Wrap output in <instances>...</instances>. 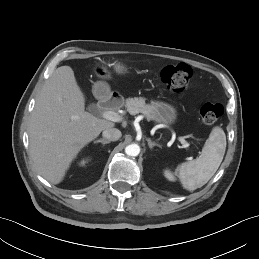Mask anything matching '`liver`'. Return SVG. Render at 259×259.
I'll use <instances>...</instances> for the list:
<instances>
[{
  "label": "liver",
  "mask_w": 259,
  "mask_h": 259,
  "mask_svg": "<svg viewBox=\"0 0 259 259\" xmlns=\"http://www.w3.org/2000/svg\"><path fill=\"white\" fill-rule=\"evenodd\" d=\"M114 126L85 111V97L72 68H57L45 82L29 122L35 168L50 183H60L81 149Z\"/></svg>",
  "instance_id": "1"
}]
</instances>
